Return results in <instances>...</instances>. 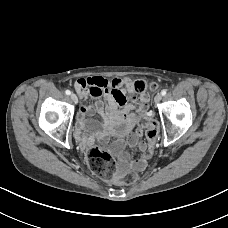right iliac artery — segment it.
Returning <instances> with one entry per match:
<instances>
[{
    "label": "right iliac artery",
    "instance_id": "obj_1",
    "mask_svg": "<svg viewBox=\"0 0 228 228\" xmlns=\"http://www.w3.org/2000/svg\"><path fill=\"white\" fill-rule=\"evenodd\" d=\"M65 93H66V95H70L71 94L70 90H66Z\"/></svg>",
    "mask_w": 228,
    "mask_h": 228
}]
</instances>
